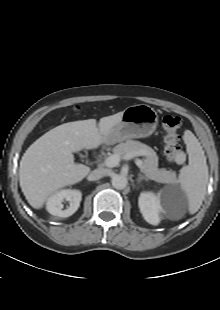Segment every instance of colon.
I'll use <instances>...</instances> for the list:
<instances>
[{"label": "colon", "mask_w": 220, "mask_h": 310, "mask_svg": "<svg viewBox=\"0 0 220 310\" xmlns=\"http://www.w3.org/2000/svg\"><path fill=\"white\" fill-rule=\"evenodd\" d=\"M162 127L165 131L164 152L166 156L176 163L184 162L185 154L180 146L179 135L181 119L176 115H166L162 119Z\"/></svg>", "instance_id": "colon-1"}]
</instances>
